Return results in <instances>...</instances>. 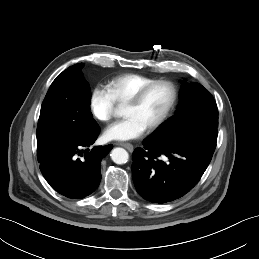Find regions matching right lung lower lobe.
Segmentation results:
<instances>
[{"label": "right lung lower lobe", "instance_id": "obj_1", "mask_svg": "<svg viewBox=\"0 0 259 259\" xmlns=\"http://www.w3.org/2000/svg\"><path fill=\"white\" fill-rule=\"evenodd\" d=\"M96 123L86 132L70 139H57L37 149L40 170L50 186L70 199L93 193L101 179V160L112 145L89 149L99 135Z\"/></svg>", "mask_w": 259, "mask_h": 259}]
</instances>
